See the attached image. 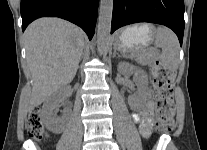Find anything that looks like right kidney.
Returning a JSON list of instances; mask_svg holds the SVG:
<instances>
[{
	"label": "right kidney",
	"mask_w": 207,
	"mask_h": 150,
	"mask_svg": "<svg viewBox=\"0 0 207 150\" xmlns=\"http://www.w3.org/2000/svg\"><path fill=\"white\" fill-rule=\"evenodd\" d=\"M70 93L69 87H62L52 94L42 107V117L43 121L48 128L53 133H61L64 128L63 120L57 118L56 113L58 110V104L64 100Z\"/></svg>",
	"instance_id": "ca27d5eb"
}]
</instances>
